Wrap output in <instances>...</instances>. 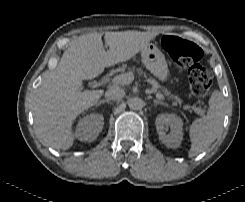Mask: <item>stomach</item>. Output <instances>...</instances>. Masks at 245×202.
Returning a JSON list of instances; mask_svg holds the SVG:
<instances>
[{
	"instance_id": "1",
	"label": "stomach",
	"mask_w": 245,
	"mask_h": 202,
	"mask_svg": "<svg viewBox=\"0 0 245 202\" xmlns=\"http://www.w3.org/2000/svg\"><path fill=\"white\" fill-rule=\"evenodd\" d=\"M142 62L160 81L165 82L169 77L168 65L164 54L159 50L156 44L148 43L141 50Z\"/></svg>"
}]
</instances>
